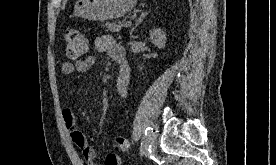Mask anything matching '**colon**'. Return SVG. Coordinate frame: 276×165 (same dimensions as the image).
<instances>
[{"label": "colon", "mask_w": 276, "mask_h": 165, "mask_svg": "<svg viewBox=\"0 0 276 165\" xmlns=\"http://www.w3.org/2000/svg\"><path fill=\"white\" fill-rule=\"evenodd\" d=\"M66 55L70 59H77L88 49L87 41L76 29H69L64 36ZM113 148L117 152H125L129 148L127 138L118 136L113 141Z\"/></svg>", "instance_id": "obj_1"}]
</instances>
